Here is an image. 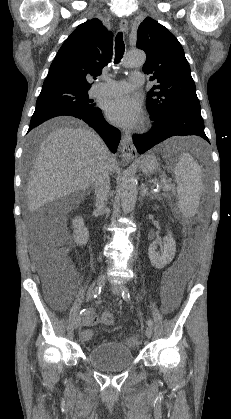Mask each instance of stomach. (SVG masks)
<instances>
[{"mask_svg":"<svg viewBox=\"0 0 231 419\" xmlns=\"http://www.w3.org/2000/svg\"><path fill=\"white\" fill-rule=\"evenodd\" d=\"M140 170L146 174H153L159 170L158 158L153 153L144 154L138 161Z\"/></svg>","mask_w":231,"mask_h":419,"instance_id":"stomach-1","label":"stomach"}]
</instances>
